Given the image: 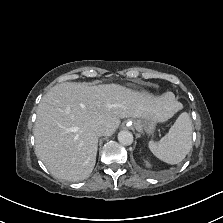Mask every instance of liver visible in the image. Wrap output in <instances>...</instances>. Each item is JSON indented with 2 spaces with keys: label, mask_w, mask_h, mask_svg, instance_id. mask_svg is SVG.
<instances>
[{
  "label": "liver",
  "mask_w": 223,
  "mask_h": 223,
  "mask_svg": "<svg viewBox=\"0 0 223 223\" xmlns=\"http://www.w3.org/2000/svg\"><path fill=\"white\" fill-rule=\"evenodd\" d=\"M181 106L172 92L153 97L117 84L61 83L38 105L33 129L35 153L53 176L83 180L96 163V125H103L104 135L110 136L120 119L152 117L163 123Z\"/></svg>",
  "instance_id": "1"
}]
</instances>
